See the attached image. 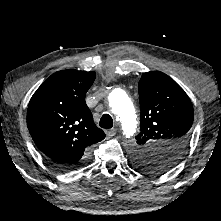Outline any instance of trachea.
Here are the masks:
<instances>
[{
	"instance_id": "3493384b",
	"label": "trachea",
	"mask_w": 221,
	"mask_h": 221,
	"mask_svg": "<svg viewBox=\"0 0 221 221\" xmlns=\"http://www.w3.org/2000/svg\"><path fill=\"white\" fill-rule=\"evenodd\" d=\"M100 127L110 129L113 126V119L109 114H104L99 122Z\"/></svg>"
}]
</instances>
